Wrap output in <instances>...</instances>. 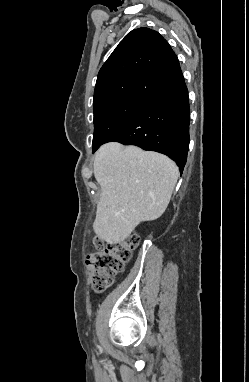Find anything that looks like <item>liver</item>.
I'll return each instance as SVG.
<instances>
[{
	"mask_svg": "<svg viewBox=\"0 0 249 382\" xmlns=\"http://www.w3.org/2000/svg\"><path fill=\"white\" fill-rule=\"evenodd\" d=\"M94 176L101 196L93 229L102 241L116 244L140 222L165 212L179 171L165 155L110 142L95 155Z\"/></svg>",
	"mask_w": 249,
	"mask_h": 382,
	"instance_id": "obj_1",
	"label": "liver"
}]
</instances>
